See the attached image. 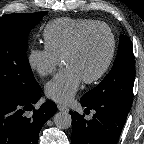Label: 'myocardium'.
<instances>
[{
	"label": "myocardium",
	"instance_id": "f54148a6",
	"mask_svg": "<svg viewBox=\"0 0 144 144\" xmlns=\"http://www.w3.org/2000/svg\"><path fill=\"white\" fill-rule=\"evenodd\" d=\"M96 29H104L109 34L110 51H109L108 57H107L104 65L102 66V68L94 76L84 79L85 83H87V84L95 83V82L99 81L101 78H103V76L107 73V71L109 70V68L113 62V59H114L115 53H116V37H115V34H114L112 28L104 22H97L95 24H92V25H89V26L83 28L75 36L72 43L70 44V46L66 50L65 54L63 55V60L65 61L71 54H73L79 48V46L81 45L85 36L88 33H90L91 31H94Z\"/></svg>",
	"mask_w": 144,
	"mask_h": 144
}]
</instances>
